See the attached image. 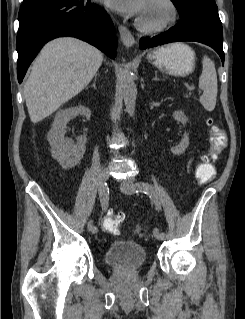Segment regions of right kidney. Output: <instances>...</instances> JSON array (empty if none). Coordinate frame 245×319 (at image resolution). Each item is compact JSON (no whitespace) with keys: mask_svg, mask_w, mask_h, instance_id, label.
<instances>
[{"mask_svg":"<svg viewBox=\"0 0 245 319\" xmlns=\"http://www.w3.org/2000/svg\"><path fill=\"white\" fill-rule=\"evenodd\" d=\"M82 115L87 120L91 117V111L85 106L68 108L58 112L55 116L51 129L48 132V142L51 146V153L62 168L69 169L78 165L85 153L86 135L77 138V144L65 137L67 123ZM87 132V129H84Z\"/></svg>","mask_w":245,"mask_h":319,"instance_id":"1","label":"right kidney"}]
</instances>
